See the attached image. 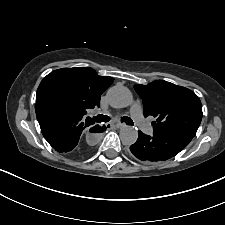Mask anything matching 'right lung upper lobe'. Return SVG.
<instances>
[{
	"mask_svg": "<svg viewBox=\"0 0 225 225\" xmlns=\"http://www.w3.org/2000/svg\"><path fill=\"white\" fill-rule=\"evenodd\" d=\"M113 80L112 77L99 76L89 67L55 70L41 81L36 104L84 116L87 109L100 106V95ZM89 119L92 121L90 117Z\"/></svg>",
	"mask_w": 225,
	"mask_h": 225,
	"instance_id": "right-lung-upper-lobe-1",
	"label": "right lung upper lobe"
}]
</instances>
